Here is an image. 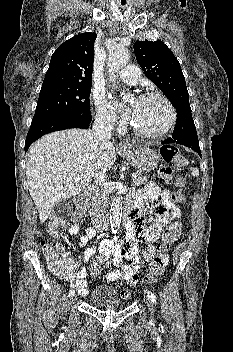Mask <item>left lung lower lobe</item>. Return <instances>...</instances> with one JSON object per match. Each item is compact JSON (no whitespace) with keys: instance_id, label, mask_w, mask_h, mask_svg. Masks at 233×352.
<instances>
[{"instance_id":"1","label":"left lung lower lobe","mask_w":233,"mask_h":352,"mask_svg":"<svg viewBox=\"0 0 233 352\" xmlns=\"http://www.w3.org/2000/svg\"><path fill=\"white\" fill-rule=\"evenodd\" d=\"M164 143H176V144H181L184 146H187L197 152L201 156V150L199 147V141L198 138H187V139H182V140H175L172 137H169L165 139L163 142Z\"/></svg>"}]
</instances>
